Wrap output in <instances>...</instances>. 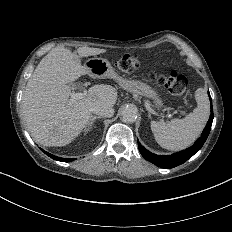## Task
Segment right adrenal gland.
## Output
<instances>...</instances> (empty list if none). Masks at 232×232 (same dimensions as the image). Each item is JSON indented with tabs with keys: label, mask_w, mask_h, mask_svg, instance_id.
I'll return each mask as SVG.
<instances>
[{
	"label": "right adrenal gland",
	"mask_w": 232,
	"mask_h": 232,
	"mask_svg": "<svg viewBox=\"0 0 232 232\" xmlns=\"http://www.w3.org/2000/svg\"><path fill=\"white\" fill-rule=\"evenodd\" d=\"M100 117L99 116H92V118L88 121V124L86 126V128L84 129V133H83V136H86V134L90 131V129L92 128L93 126V123L99 119Z\"/></svg>",
	"instance_id": "obj_1"
}]
</instances>
